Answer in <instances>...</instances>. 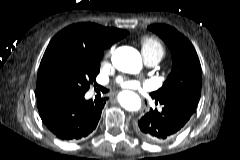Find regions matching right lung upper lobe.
Returning a JSON list of instances; mask_svg holds the SVG:
<instances>
[{"label":"right lung upper lobe","instance_id":"cb5924a9","mask_svg":"<svg viewBox=\"0 0 240 160\" xmlns=\"http://www.w3.org/2000/svg\"><path fill=\"white\" fill-rule=\"evenodd\" d=\"M127 31L115 28H106L93 23L73 24L61 30L50 41L41 64L43 65L54 57L61 45H70L88 53L103 54L104 49L122 39ZM37 98H41L36 88Z\"/></svg>","mask_w":240,"mask_h":160}]
</instances>
